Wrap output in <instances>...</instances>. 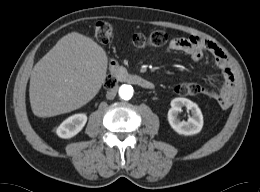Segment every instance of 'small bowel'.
Listing matches in <instances>:
<instances>
[{
    "label": "small bowel",
    "instance_id": "c3829d8e",
    "mask_svg": "<svg viewBox=\"0 0 260 192\" xmlns=\"http://www.w3.org/2000/svg\"><path fill=\"white\" fill-rule=\"evenodd\" d=\"M168 50L182 52L194 61H201L209 53L221 70L224 82L219 91L200 87L199 92L215 99L222 108L233 103L237 93L236 79L225 53L217 44L198 36L176 37L170 41Z\"/></svg>",
    "mask_w": 260,
    "mask_h": 192
}]
</instances>
